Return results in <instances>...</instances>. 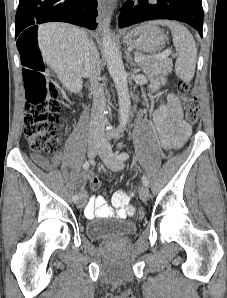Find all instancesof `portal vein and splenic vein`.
I'll use <instances>...</instances> for the list:
<instances>
[{
	"mask_svg": "<svg viewBox=\"0 0 227 298\" xmlns=\"http://www.w3.org/2000/svg\"><path fill=\"white\" fill-rule=\"evenodd\" d=\"M172 53V51L170 49L165 50L163 53L161 54H157V55H153L151 58L153 59H161V58H166L168 57L170 54ZM144 58L141 56H135V61L136 62H140L142 61Z\"/></svg>",
	"mask_w": 227,
	"mask_h": 298,
	"instance_id": "18ae733b",
	"label": "portal vein and splenic vein"
}]
</instances>
